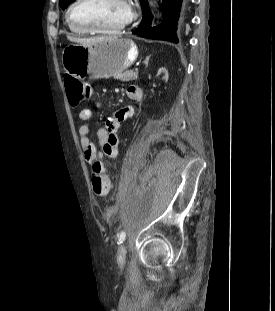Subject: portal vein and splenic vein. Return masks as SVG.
Listing matches in <instances>:
<instances>
[{"label": "portal vein and splenic vein", "mask_w": 275, "mask_h": 311, "mask_svg": "<svg viewBox=\"0 0 275 311\" xmlns=\"http://www.w3.org/2000/svg\"><path fill=\"white\" fill-rule=\"evenodd\" d=\"M135 72L138 73V68H135Z\"/></svg>", "instance_id": "1"}]
</instances>
